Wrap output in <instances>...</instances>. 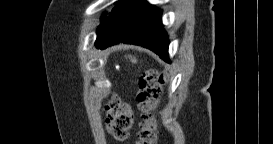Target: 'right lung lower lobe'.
<instances>
[{
  "mask_svg": "<svg viewBox=\"0 0 273 144\" xmlns=\"http://www.w3.org/2000/svg\"><path fill=\"white\" fill-rule=\"evenodd\" d=\"M161 15V10L145 0H125L98 27L96 47L104 49L117 42L141 45L169 62V39Z\"/></svg>",
  "mask_w": 273,
  "mask_h": 144,
  "instance_id": "98d812e1",
  "label": "right lung lower lobe"
}]
</instances>
